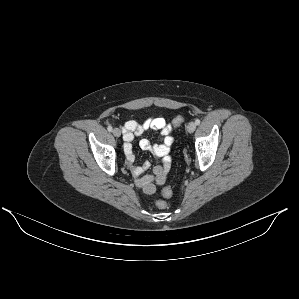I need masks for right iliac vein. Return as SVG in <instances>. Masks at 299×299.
Masks as SVG:
<instances>
[{"instance_id":"right-iliac-vein-1","label":"right iliac vein","mask_w":299,"mask_h":299,"mask_svg":"<svg viewBox=\"0 0 299 299\" xmlns=\"http://www.w3.org/2000/svg\"><path fill=\"white\" fill-rule=\"evenodd\" d=\"M112 132H113V135L117 138L121 136V131L118 128H114Z\"/></svg>"}]
</instances>
